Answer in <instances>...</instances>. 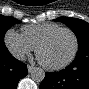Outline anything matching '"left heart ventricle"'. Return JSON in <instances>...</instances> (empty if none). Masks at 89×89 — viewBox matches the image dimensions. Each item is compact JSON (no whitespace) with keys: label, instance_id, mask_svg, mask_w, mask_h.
I'll use <instances>...</instances> for the list:
<instances>
[{"label":"left heart ventricle","instance_id":"left-heart-ventricle-1","mask_svg":"<svg viewBox=\"0 0 89 89\" xmlns=\"http://www.w3.org/2000/svg\"><path fill=\"white\" fill-rule=\"evenodd\" d=\"M74 40L69 32L61 31L55 34L41 49L44 62L55 65L65 61L72 53Z\"/></svg>","mask_w":89,"mask_h":89}]
</instances>
